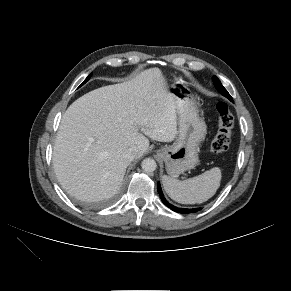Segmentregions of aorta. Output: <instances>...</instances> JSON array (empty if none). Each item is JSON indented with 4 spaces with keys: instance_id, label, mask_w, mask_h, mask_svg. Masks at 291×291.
<instances>
[{
    "instance_id": "1",
    "label": "aorta",
    "mask_w": 291,
    "mask_h": 291,
    "mask_svg": "<svg viewBox=\"0 0 291 291\" xmlns=\"http://www.w3.org/2000/svg\"><path fill=\"white\" fill-rule=\"evenodd\" d=\"M141 167L145 172H153L156 170L157 164L154 159L146 158L142 161Z\"/></svg>"
}]
</instances>
